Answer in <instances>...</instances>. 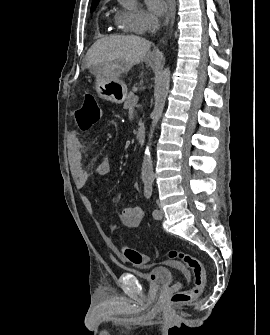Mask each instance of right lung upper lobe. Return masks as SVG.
I'll list each match as a JSON object with an SVG mask.
<instances>
[{
	"label": "right lung upper lobe",
	"mask_w": 270,
	"mask_h": 335,
	"mask_svg": "<svg viewBox=\"0 0 270 335\" xmlns=\"http://www.w3.org/2000/svg\"><path fill=\"white\" fill-rule=\"evenodd\" d=\"M98 1H99V0H93V1H92V5H93V4H97Z\"/></svg>",
	"instance_id": "obj_1"
}]
</instances>
